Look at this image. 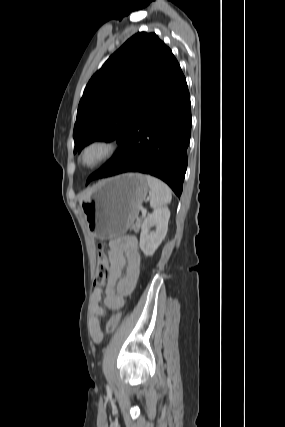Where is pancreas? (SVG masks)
<instances>
[{"mask_svg":"<svg viewBox=\"0 0 285 427\" xmlns=\"http://www.w3.org/2000/svg\"><path fill=\"white\" fill-rule=\"evenodd\" d=\"M140 225H141V219L137 218L136 222L132 225V230L138 231Z\"/></svg>","mask_w":285,"mask_h":427,"instance_id":"cf45deb5","label":"pancreas"}]
</instances>
